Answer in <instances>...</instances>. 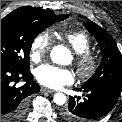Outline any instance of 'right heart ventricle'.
<instances>
[{"label":"right heart ventricle","mask_w":122,"mask_h":122,"mask_svg":"<svg viewBox=\"0 0 122 122\" xmlns=\"http://www.w3.org/2000/svg\"><path fill=\"white\" fill-rule=\"evenodd\" d=\"M68 43L71 45L76 54H81L90 51L92 43L89 36L81 31L70 32L65 36Z\"/></svg>","instance_id":"1"}]
</instances>
